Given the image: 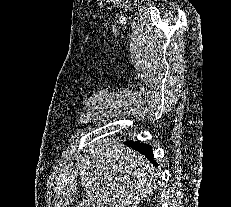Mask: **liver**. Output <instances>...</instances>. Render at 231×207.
Masks as SVG:
<instances>
[{
	"label": "liver",
	"instance_id": "6515ba94",
	"mask_svg": "<svg viewBox=\"0 0 231 207\" xmlns=\"http://www.w3.org/2000/svg\"><path fill=\"white\" fill-rule=\"evenodd\" d=\"M147 159L116 139H99L80 156L75 174L85 199L79 207H137L157 178Z\"/></svg>",
	"mask_w": 231,
	"mask_h": 207
}]
</instances>
